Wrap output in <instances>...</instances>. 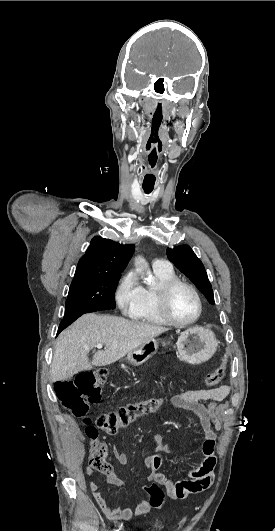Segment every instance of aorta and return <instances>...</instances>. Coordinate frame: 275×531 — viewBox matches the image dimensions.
Here are the masks:
<instances>
[{
	"mask_svg": "<svg viewBox=\"0 0 275 531\" xmlns=\"http://www.w3.org/2000/svg\"><path fill=\"white\" fill-rule=\"evenodd\" d=\"M137 261H138V263H142L141 257H137ZM136 271H137V273H142L143 269H139V267H136ZM150 283H151V281L149 279L147 285H150Z\"/></svg>",
	"mask_w": 275,
	"mask_h": 531,
	"instance_id": "762f6f07",
	"label": "aorta"
}]
</instances>
